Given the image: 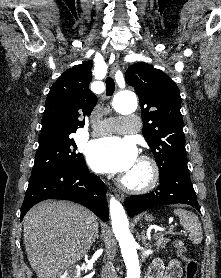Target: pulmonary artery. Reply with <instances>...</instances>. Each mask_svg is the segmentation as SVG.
<instances>
[{"instance_id": "obj_1", "label": "pulmonary artery", "mask_w": 221, "mask_h": 278, "mask_svg": "<svg viewBox=\"0 0 221 278\" xmlns=\"http://www.w3.org/2000/svg\"><path fill=\"white\" fill-rule=\"evenodd\" d=\"M138 125V118L131 115L123 118H109L95 125L93 134L133 133L138 131Z\"/></svg>"}]
</instances>
